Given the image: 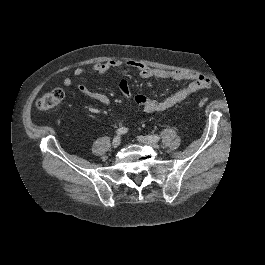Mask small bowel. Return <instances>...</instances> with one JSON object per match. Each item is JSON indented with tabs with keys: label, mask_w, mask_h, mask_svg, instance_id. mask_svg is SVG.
Returning <instances> with one entry per match:
<instances>
[{
	"label": "small bowel",
	"mask_w": 265,
	"mask_h": 265,
	"mask_svg": "<svg viewBox=\"0 0 265 265\" xmlns=\"http://www.w3.org/2000/svg\"><path fill=\"white\" fill-rule=\"evenodd\" d=\"M134 68L138 71L139 75L142 78H165L172 80H182L187 81L188 84L173 93L172 95L161 99H153L142 94H133L130 90V86L127 80H122L120 82V89L126 98L127 102L134 106L142 108L147 113H160L166 111L177 104L185 101L193 94L199 90L208 88L210 86V80L198 73L182 71V70H165L155 67L148 66L144 63L138 61H119L112 60L104 63H95L92 66V70L99 75H104L109 70L113 68ZM84 68H76L74 70V75L76 77L81 76L84 73ZM73 84L71 77H66L63 80V85L69 87ZM78 90L86 97L93 99L105 106L111 105L110 98L102 93L97 91H92L87 88L83 83L78 84Z\"/></svg>",
	"instance_id": "c3829d8e"
}]
</instances>
